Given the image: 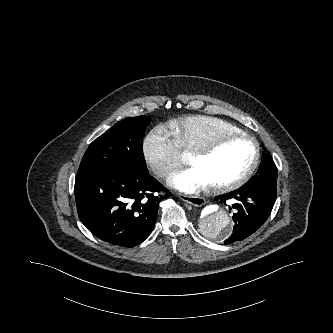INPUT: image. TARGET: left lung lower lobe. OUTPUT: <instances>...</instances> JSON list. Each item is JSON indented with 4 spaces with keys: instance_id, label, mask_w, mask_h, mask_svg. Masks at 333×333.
I'll use <instances>...</instances> for the list:
<instances>
[{
    "instance_id": "1",
    "label": "left lung lower lobe",
    "mask_w": 333,
    "mask_h": 333,
    "mask_svg": "<svg viewBox=\"0 0 333 333\" xmlns=\"http://www.w3.org/2000/svg\"><path fill=\"white\" fill-rule=\"evenodd\" d=\"M276 194L277 190L271 188L243 186L237 191L216 197L215 200L222 203L228 200L235 201L229 208L235 211L234 230L225 243L243 240L258 230L269 217Z\"/></svg>"
}]
</instances>
